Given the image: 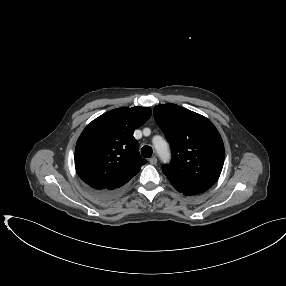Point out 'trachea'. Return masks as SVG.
Masks as SVG:
<instances>
[{
	"mask_svg": "<svg viewBox=\"0 0 286 286\" xmlns=\"http://www.w3.org/2000/svg\"><path fill=\"white\" fill-rule=\"evenodd\" d=\"M152 148L150 146H143L141 149V154L144 158H150L152 156Z\"/></svg>",
	"mask_w": 286,
	"mask_h": 286,
	"instance_id": "obj_1",
	"label": "trachea"
}]
</instances>
